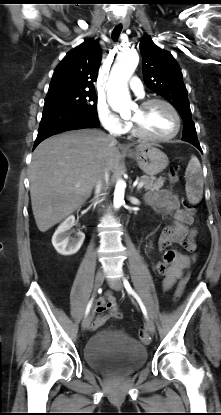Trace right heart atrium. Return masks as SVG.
<instances>
[{
    "label": "right heart atrium",
    "mask_w": 221,
    "mask_h": 415,
    "mask_svg": "<svg viewBox=\"0 0 221 415\" xmlns=\"http://www.w3.org/2000/svg\"><path fill=\"white\" fill-rule=\"evenodd\" d=\"M97 116L103 128L113 136H121L129 129L130 124L121 119L103 101H99L97 104Z\"/></svg>",
    "instance_id": "obj_1"
}]
</instances>
